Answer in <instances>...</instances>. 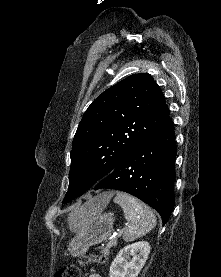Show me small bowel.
Wrapping results in <instances>:
<instances>
[{"mask_svg":"<svg viewBox=\"0 0 221 277\" xmlns=\"http://www.w3.org/2000/svg\"><path fill=\"white\" fill-rule=\"evenodd\" d=\"M88 277H101V276L97 273H91L88 275Z\"/></svg>","mask_w":221,"mask_h":277,"instance_id":"obj_1","label":"small bowel"}]
</instances>
